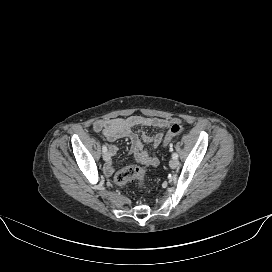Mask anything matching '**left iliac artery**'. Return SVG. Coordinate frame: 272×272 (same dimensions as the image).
<instances>
[{
  "label": "left iliac artery",
  "instance_id": "obj_1",
  "mask_svg": "<svg viewBox=\"0 0 272 272\" xmlns=\"http://www.w3.org/2000/svg\"><path fill=\"white\" fill-rule=\"evenodd\" d=\"M172 158H173V159H177V158H178V154H177V153H173V154H172Z\"/></svg>",
  "mask_w": 272,
  "mask_h": 272
}]
</instances>
